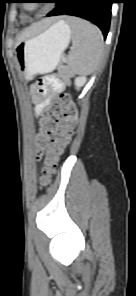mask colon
<instances>
[{"mask_svg":"<svg viewBox=\"0 0 136 296\" xmlns=\"http://www.w3.org/2000/svg\"><path fill=\"white\" fill-rule=\"evenodd\" d=\"M52 80L51 77H45ZM76 108L68 93L54 97L45 108L40 127L35 134L36 155H45L41 184L47 187L64 154L76 126Z\"/></svg>","mask_w":136,"mask_h":296,"instance_id":"5ec220e1","label":"colon"}]
</instances>
